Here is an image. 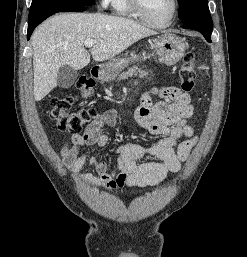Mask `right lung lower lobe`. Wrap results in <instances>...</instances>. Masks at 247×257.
Wrapping results in <instances>:
<instances>
[{"label": "right lung lower lobe", "mask_w": 247, "mask_h": 257, "mask_svg": "<svg viewBox=\"0 0 247 257\" xmlns=\"http://www.w3.org/2000/svg\"><path fill=\"white\" fill-rule=\"evenodd\" d=\"M85 9V6L78 5L52 6L29 15L27 39L29 40L35 27L49 16L58 12H81Z\"/></svg>", "instance_id": "98d812e1"}]
</instances>
